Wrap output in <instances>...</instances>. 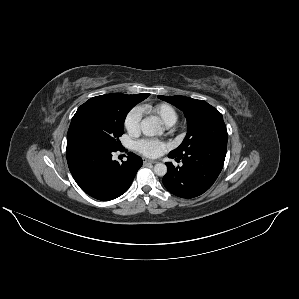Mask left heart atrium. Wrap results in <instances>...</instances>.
Here are the masks:
<instances>
[{"label": "left heart atrium", "mask_w": 299, "mask_h": 299, "mask_svg": "<svg viewBox=\"0 0 299 299\" xmlns=\"http://www.w3.org/2000/svg\"><path fill=\"white\" fill-rule=\"evenodd\" d=\"M136 148L144 156L156 158L167 150L168 145L156 139H142L136 143Z\"/></svg>", "instance_id": "left-heart-atrium-1"}]
</instances>
